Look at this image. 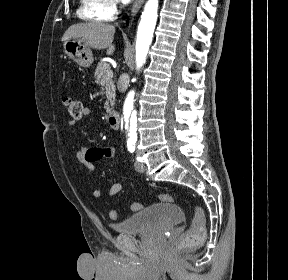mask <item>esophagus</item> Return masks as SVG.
I'll return each mask as SVG.
<instances>
[{
	"label": "esophagus",
	"mask_w": 288,
	"mask_h": 280,
	"mask_svg": "<svg viewBox=\"0 0 288 280\" xmlns=\"http://www.w3.org/2000/svg\"><path fill=\"white\" fill-rule=\"evenodd\" d=\"M144 0H136L135 3L133 4V7L131 9V17H134L139 9L141 8L142 4H143Z\"/></svg>",
	"instance_id": "obj_1"
}]
</instances>
